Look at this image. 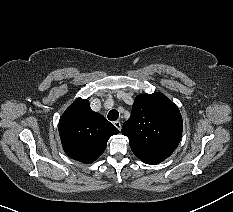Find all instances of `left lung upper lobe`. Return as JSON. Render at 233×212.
Here are the masks:
<instances>
[{"label":"left lung upper lobe","instance_id":"5c2ea615","mask_svg":"<svg viewBox=\"0 0 233 212\" xmlns=\"http://www.w3.org/2000/svg\"><path fill=\"white\" fill-rule=\"evenodd\" d=\"M182 117L175 104L161 93L135 98L132 113L123 124L122 134L129 138L134 155L155 165L177 148L182 135Z\"/></svg>","mask_w":233,"mask_h":212}]
</instances>
